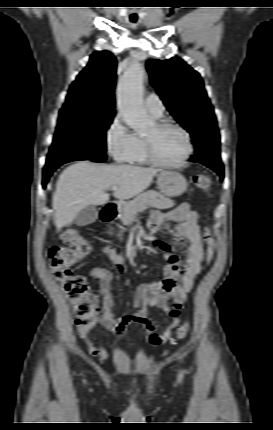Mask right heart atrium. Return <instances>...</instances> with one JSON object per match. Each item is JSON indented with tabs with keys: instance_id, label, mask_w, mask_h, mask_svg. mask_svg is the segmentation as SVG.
<instances>
[{
	"instance_id": "1",
	"label": "right heart atrium",
	"mask_w": 273,
	"mask_h": 430,
	"mask_svg": "<svg viewBox=\"0 0 273 430\" xmlns=\"http://www.w3.org/2000/svg\"><path fill=\"white\" fill-rule=\"evenodd\" d=\"M106 146L114 160L121 163L130 162L139 149V139L120 115H116L109 124L105 134Z\"/></svg>"
}]
</instances>
